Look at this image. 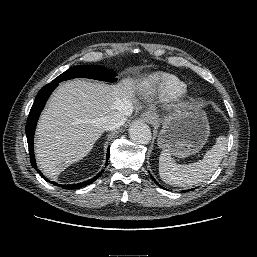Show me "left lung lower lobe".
I'll list each match as a JSON object with an SVG mask.
<instances>
[{
    "mask_svg": "<svg viewBox=\"0 0 257 257\" xmlns=\"http://www.w3.org/2000/svg\"><path fill=\"white\" fill-rule=\"evenodd\" d=\"M152 179H153V181L157 184V185H159L158 183H157V181L152 177ZM160 186V185H159Z\"/></svg>",
    "mask_w": 257,
    "mask_h": 257,
    "instance_id": "0a47b994",
    "label": "left lung lower lobe"
}]
</instances>
